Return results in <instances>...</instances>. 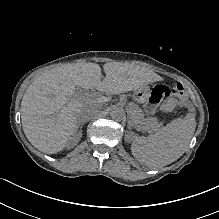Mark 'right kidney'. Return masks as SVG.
<instances>
[{
	"label": "right kidney",
	"mask_w": 219,
	"mask_h": 219,
	"mask_svg": "<svg viewBox=\"0 0 219 219\" xmlns=\"http://www.w3.org/2000/svg\"><path fill=\"white\" fill-rule=\"evenodd\" d=\"M78 136V135H77ZM77 136H74L73 137V140L75 141V139L77 138ZM82 136V135H81ZM80 135H79V138L81 137ZM79 142V141H78Z\"/></svg>",
	"instance_id": "right-kidney-1"
}]
</instances>
